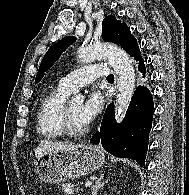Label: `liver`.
I'll return each mask as SVG.
<instances>
[{"label":"liver","mask_w":189,"mask_h":195,"mask_svg":"<svg viewBox=\"0 0 189 195\" xmlns=\"http://www.w3.org/2000/svg\"><path fill=\"white\" fill-rule=\"evenodd\" d=\"M84 144H68L63 142H53L49 140L41 141L35 149L36 158H40L42 155L53 151H74L83 148Z\"/></svg>","instance_id":"6515ba94"}]
</instances>
